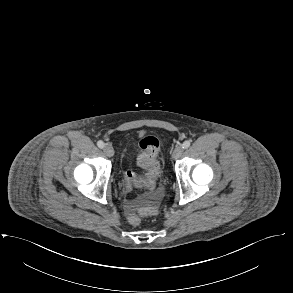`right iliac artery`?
Returning a JSON list of instances; mask_svg holds the SVG:
<instances>
[{
  "mask_svg": "<svg viewBox=\"0 0 293 293\" xmlns=\"http://www.w3.org/2000/svg\"><path fill=\"white\" fill-rule=\"evenodd\" d=\"M104 145H105L104 142L101 141V140H99V141L97 142V146H98L99 148H103Z\"/></svg>",
  "mask_w": 293,
  "mask_h": 293,
  "instance_id": "1",
  "label": "right iliac artery"
}]
</instances>
